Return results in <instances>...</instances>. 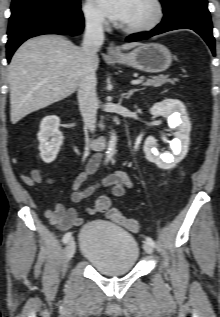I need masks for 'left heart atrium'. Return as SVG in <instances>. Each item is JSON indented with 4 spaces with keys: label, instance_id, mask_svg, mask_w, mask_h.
Wrapping results in <instances>:
<instances>
[{
    "label": "left heart atrium",
    "instance_id": "1",
    "mask_svg": "<svg viewBox=\"0 0 220 317\" xmlns=\"http://www.w3.org/2000/svg\"><path fill=\"white\" fill-rule=\"evenodd\" d=\"M95 2L104 15L123 24L128 17L132 0H95Z\"/></svg>",
    "mask_w": 220,
    "mask_h": 317
}]
</instances>
